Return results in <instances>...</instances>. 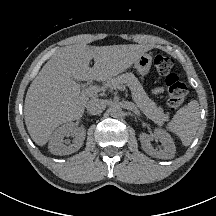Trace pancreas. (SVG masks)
<instances>
[{"mask_svg": "<svg viewBox=\"0 0 216 216\" xmlns=\"http://www.w3.org/2000/svg\"><path fill=\"white\" fill-rule=\"evenodd\" d=\"M123 84H126L130 88L134 102L149 119L159 125L167 120L168 117L164 114L162 107H157L156 104L149 99L141 83L133 73H125L108 79L105 82V86L110 89H117V86H122Z\"/></svg>", "mask_w": 216, "mask_h": 216, "instance_id": "obj_1", "label": "pancreas"}]
</instances>
